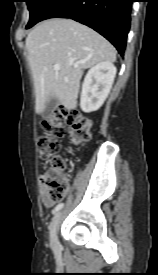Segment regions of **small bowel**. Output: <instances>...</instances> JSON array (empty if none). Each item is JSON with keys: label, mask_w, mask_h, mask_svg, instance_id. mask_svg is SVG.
Wrapping results in <instances>:
<instances>
[{"label": "small bowel", "mask_w": 158, "mask_h": 275, "mask_svg": "<svg viewBox=\"0 0 158 275\" xmlns=\"http://www.w3.org/2000/svg\"><path fill=\"white\" fill-rule=\"evenodd\" d=\"M42 202H43L44 206L47 207V208H50L54 204V202L47 199L45 197V195L42 197Z\"/></svg>", "instance_id": "c3829d8e"}]
</instances>
